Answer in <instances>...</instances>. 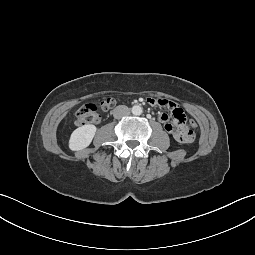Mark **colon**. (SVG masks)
<instances>
[{"mask_svg":"<svg viewBox=\"0 0 255 255\" xmlns=\"http://www.w3.org/2000/svg\"><path fill=\"white\" fill-rule=\"evenodd\" d=\"M116 100L113 97H107L99 103H87L81 106L76 112L75 124L82 126L88 123H97L101 119V111H107L114 106ZM188 123L192 129H197L198 124L194 119H189Z\"/></svg>","mask_w":255,"mask_h":255,"instance_id":"1","label":"colon"}]
</instances>
